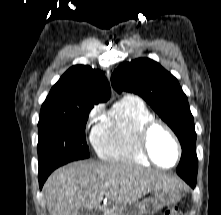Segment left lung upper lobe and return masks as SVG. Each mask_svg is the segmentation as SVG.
Here are the masks:
<instances>
[{
    "label": "left lung upper lobe",
    "mask_w": 221,
    "mask_h": 215,
    "mask_svg": "<svg viewBox=\"0 0 221 215\" xmlns=\"http://www.w3.org/2000/svg\"><path fill=\"white\" fill-rule=\"evenodd\" d=\"M113 88L141 96L177 135L182 156L179 176H197L196 132L188 99L178 80L159 63L140 58L124 63L111 76Z\"/></svg>",
    "instance_id": "5c2ea615"
}]
</instances>
